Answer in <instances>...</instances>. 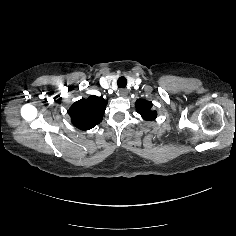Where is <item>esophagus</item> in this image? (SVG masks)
<instances>
[{"label":"esophagus","mask_w":236,"mask_h":236,"mask_svg":"<svg viewBox=\"0 0 236 236\" xmlns=\"http://www.w3.org/2000/svg\"><path fill=\"white\" fill-rule=\"evenodd\" d=\"M127 94H128V90H127V89L121 88V89L119 90V95H120V96L125 97V96H127Z\"/></svg>","instance_id":"obj_1"}]
</instances>
